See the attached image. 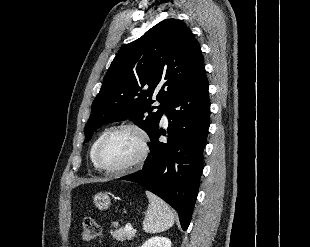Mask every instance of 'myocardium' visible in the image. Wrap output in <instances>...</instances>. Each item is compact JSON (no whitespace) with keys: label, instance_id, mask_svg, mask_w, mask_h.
<instances>
[{"label":"myocardium","instance_id":"obj_1","mask_svg":"<svg viewBox=\"0 0 310 247\" xmlns=\"http://www.w3.org/2000/svg\"><path fill=\"white\" fill-rule=\"evenodd\" d=\"M122 130H130L133 131L135 134H137V136L139 137V141H140V149L139 152L137 154V156L130 161L129 163L121 166V167H117V168H108L106 166H104L101 161H100V152L101 149L103 147V145L105 144V142L114 134H116L119 131ZM149 148H150V141H149V136L146 132V130L144 128H142L140 125L135 124V123H122L119 124L111 129H109L104 136L101 138V140L99 141L96 149H95V153H94V161L96 166L105 171L107 174L110 175H121L124 174L126 172H129L131 170H133L134 168H137L138 166H140L144 160L146 159L148 153H149Z\"/></svg>","mask_w":310,"mask_h":247}]
</instances>
